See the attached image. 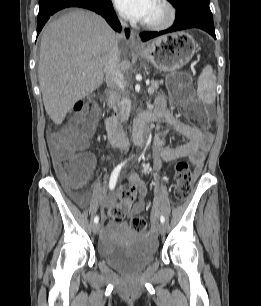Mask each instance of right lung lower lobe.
Returning a JSON list of instances; mask_svg holds the SVG:
<instances>
[{"label":"right lung lower lobe","mask_w":261,"mask_h":306,"mask_svg":"<svg viewBox=\"0 0 261 306\" xmlns=\"http://www.w3.org/2000/svg\"><path fill=\"white\" fill-rule=\"evenodd\" d=\"M67 7H83L95 11L102 15L114 30H121L120 22L110 0H39L37 34L40 33L51 15ZM129 34L130 31L127 29L126 36L128 37Z\"/></svg>","instance_id":"1"}]
</instances>
